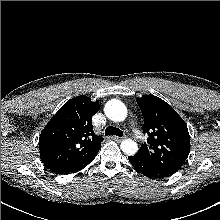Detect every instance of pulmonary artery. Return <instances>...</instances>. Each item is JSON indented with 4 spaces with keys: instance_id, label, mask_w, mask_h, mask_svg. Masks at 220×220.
Masks as SVG:
<instances>
[{
    "instance_id": "obj_1",
    "label": "pulmonary artery",
    "mask_w": 220,
    "mask_h": 220,
    "mask_svg": "<svg viewBox=\"0 0 220 220\" xmlns=\"http://www.w3.org/2000/svg\"><path fill=\"white\" fill-rule=\"evenodd\" d=\"M135 133L137 134V136H138L139 138H142V136L139 134V132H138L137 130H135Z\"/></svg>"
}]
</instances>
